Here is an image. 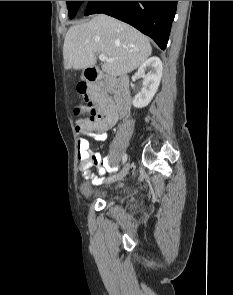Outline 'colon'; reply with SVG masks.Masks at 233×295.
Segmentation results:
<instances>
[{"label":"colon","instance_id":"obj_1","mask_svg":"<svg viewBox=\"0 0 233 295\" xmlns=\"http://www.w3.org/2000/svg\"><path fill=\"white\" fill-rule=\"evenodd\" d=\"M116 86L117 82L112 78L88 79L77 85V91L82 96L85 106L76 107L75 115L78 117L83 110L88 111L90 114L88 119L78 120L77 130L87 129L95 125L102 118V115L98 113L95 104L104 92Z\"/></svg>","mask_w":233,"mask_h":295}]
</instances>
